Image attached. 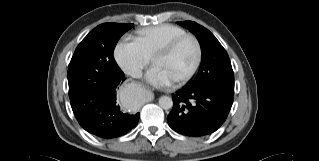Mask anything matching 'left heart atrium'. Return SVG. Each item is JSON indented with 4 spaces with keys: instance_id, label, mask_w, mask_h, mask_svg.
I'll use <instances>...</instances> for the list:
<instances>
[{
    "instance_id": "39dd6f15",
    "label": "left heart atrium",
    "mask_w": 319,
    "mask_h": 161,
    "mask_svg": "<svg viewBox=\"0 0 319 161\" xmlns=\"http://www.w3.org/2000/svg\"><path fill=\"white\" fill-rule=\"evenodd\" d=\"M146 79L155 86H168L172 83L171 78L159 66H153L146 74Z\"/></svg>"
}]
</instances>
